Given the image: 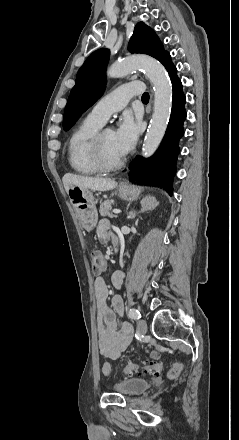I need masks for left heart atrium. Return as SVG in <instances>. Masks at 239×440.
I'll use <instances>...</instances> for the list:
<instances>
[{
  "label": "left heart atrium",
  "instance_id": "obj_1",
  "mask_svg": "<svg viewBox=\"0 0 239 440\" xmlns=\"http://www.w3.org/2000/svg\"><path fill=\"white\" fill-rule=\"evenodd\" d=\"M140 130V124L133 116L124 113L117 124L114 132V139L118 150L122 155L127 154L134 146Z\"/></svg>",
  "mask_w": 239,
  "mask_h": 440
}]
</instances>
